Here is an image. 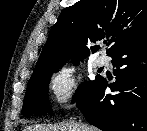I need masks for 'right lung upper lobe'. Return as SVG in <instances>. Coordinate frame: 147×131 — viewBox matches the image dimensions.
<instances>
[{
	"instance_id": "cb5924a9",
	"label": "right lung upper lobe",
	"mask_w": 147,
	"mask_h": 131,
	"mask_svg": "<svg viewBox=\"0 0 147 131\" xmlns=\"http://www.w3.org/2000/svg\"><path fill=\"white\" fill-rule=\"evenodd\" d=\"M147 35V0H79L62 10L32 76L90 54L87 42L111 37L107 55ZM92 46V53L98 50Z\"/></svg>"
}]
</instances>
